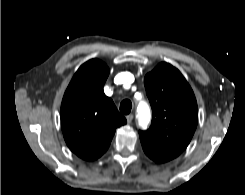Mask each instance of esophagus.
I'll return each instance as SVG.
<instances>
[{
  "instance_id": "obj_1",
  "label": "esophagus",
  "mask_w": 245,
  "mask_h": 195,
  "mask_svg": "<svg viewBox=\"0 0 245 195\" xmlns=\"http://www.w3.org/2000/svg\"><path fill=\"white\" fill-rule=\"evenodd\" d=\"M126 119H127V122L130 124L133 120V115L132 114L127 115Z\"/></svg>"
}]
</instances>
